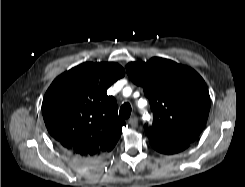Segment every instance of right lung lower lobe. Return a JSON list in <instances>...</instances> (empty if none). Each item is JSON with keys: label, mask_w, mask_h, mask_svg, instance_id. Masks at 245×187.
Instances as JSON below:
<instances>
[{"label": "right lung lower lobe", "mask_w": 245, "mask_h": 187, "mask_svg": "<svg viewBox=\"0 0 245 187\" xmlns=\"http://www.w3.org/2000/svg\"><path fill=\"white\" fill-rule=\"evenodd\" d=\"M61 147H62V146H61ZM62 149H63L65 152H67V153L73 155L72 153H70L69 151H67L66 149H64L63 147H62ZM73 156H74V155H73ZM74 157L77 158V159H79V160H83V161L88 160L87 158H81V157H77V156H74Z\"/></svg>", "instance_id": "right-lung-lower-lobe-1"}]
</instances>
